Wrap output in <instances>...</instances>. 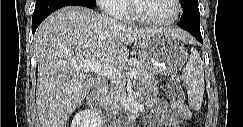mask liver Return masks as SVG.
Masks as SVG:
<instances>
[{"mask_svg": "<svg viewBox=\"0 0 243 127\" xmlns=\"http://www.w3.org/2000/svg\"><path fill=\"white\" fill-rule=\"evenodd\" d=\"M154 32H167L182 41L192 39L180 29L132 28L82 6H66L48 16L34 37L41 127H65L69 116L89 94L94 79L80 64L96 61L119 68L128 60V46L138 45Z\"/></svg>", "mask_w": 243, "mask_h": 127, "instance_id": "obj_1", "label": "liver"}]
</instances>
